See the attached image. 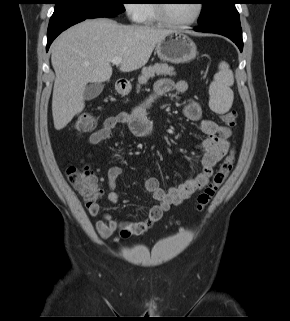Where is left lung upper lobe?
<instances>
[{"label":"left lung upper lobe","instance_id":"left-lung-upper-lobe-1","mask_svg":"<svg viewBox=\"0 0 290 321\" xmlns=\"http://www.w3.org/2000/svg\"><path fill=\"white\" fill-rule=\"evenodd\" d=\"M202 6L199 25L214 21L229 11L235 9L238 0H200Z\"/></svg>","mask_w":290,"mask_h":321}]
</instances>
